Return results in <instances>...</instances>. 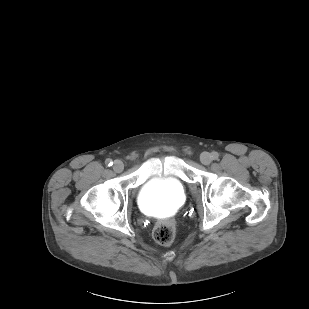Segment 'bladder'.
<instances>
[{"label": "bladder", "instance_id": "obj_1", "mask_svg": "<svg viewBox=\"0 0 309 309\" xmlns=\"http://www.w3.org/2000/svg\"><path fill=\"white\" fill-rule=\"evenodd\" d=\"M186 201V190L178 178H151L145 181L137 195L139 207L150 215L172 213Z\"/></svg>", "mask_w": 309, "mask_h": 309}]
</instances>
